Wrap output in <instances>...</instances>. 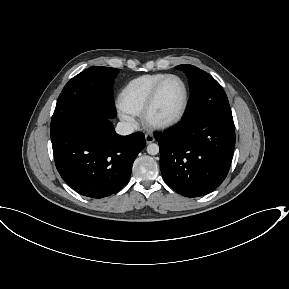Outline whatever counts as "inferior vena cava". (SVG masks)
<instances>
[{"mask_svg":"<svg viewBox=\"0 0 289 289\" xmlns=\"http://www.w3.org/2000/svg\"><path fill=\"white\" fill-rule=\"evenodd\" d=\"M115 131L119 135H129L134 132V127L129 122H119L115 128Z\"/></svg>","mask_w":289,"mask_h":289,"instance_id":"602c4592","label":"inferior vena cava"}]
</instances>
